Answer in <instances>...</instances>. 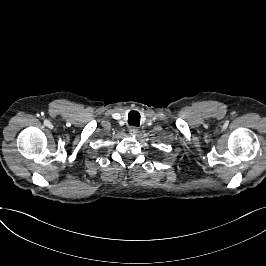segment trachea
Listing matches in <instances>:
<instances>
[{"mask_svg":"<svg viewBox=\"0 0 266 266\" xmlns=\"http://www.w3.org/2000/svg\"><path fill=\"white\" fill-rule=\"evenodd\" d=\"M129 125L139 126L140 124V114L137 111H131L128 114Z\"/></svg>","mask_w":266,"mask_h":266,"instance_id":"1","label":"trachea"}]
</instances>
